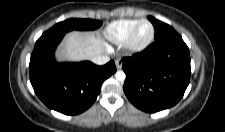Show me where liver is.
<instances>
[{
	"mask_svg": "<svg viewBox=\"0 0 225 132\" xmlns=\"http://www.w3.org/2000/svg\"><path fill=\"white\" fill-rule=\"evenodd\" d=\"M105 42L93 32H69L56 52L58 62L92 60L104 51Z\"/></svg>",
	"mask_w": 225,
	"mask_h": 132,
	"instance_id": "1",
	"label": "liver"
}]
</instances>
